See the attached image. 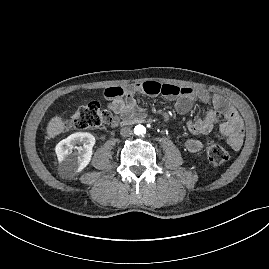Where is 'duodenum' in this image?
Masks as SVG:
<instances>
[{"instance_id":"410a0bca","label":"duodenum","mask_w":269,"mask_h":269,"mask_svg":"<svg viewBox=\"0 0 269 269\" xmlns=\"http://www.w3.org/2000/svg\"><path fill=\"white\" fill-rule=\"evenodd\" d=\"M144 122V118L143 117H133V118H130V119H126V120H123L121 122V125H131V124H137V123H142Z\"/></svg>"}]
</instances>
